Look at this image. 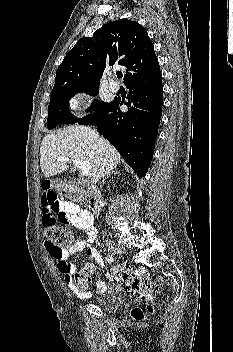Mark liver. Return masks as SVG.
<instances>
[{"label":"liver","mask_w":233,"mask_h":352,"mask_svg":"<svg viewBox=\"0 0 233 352\" xmlns=\"http://www.w3.org/2000/svg\"><path fill=\"white\" fill-rule=\"evenodd\" d=\"M58 157L88 162L91 184H96L101 177L114 170L121 160L118 151L107 140L81 125L70 126L44 137L40 148V167L46 178L68 169L71 173L76 171L75 167L68 165V161L56 162Z\"/></svg>","instance_id":"1"}]
</instances>
